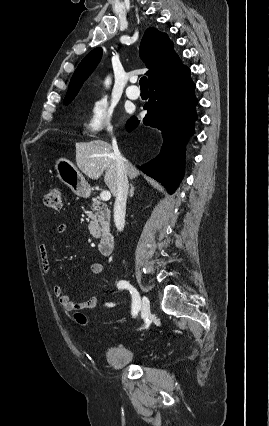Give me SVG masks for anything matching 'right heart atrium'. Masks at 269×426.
<instances>
[{
	"mask_svg": "<svg viewBox=\"0 0 269 426\" xmlns=\"http://www.w3.org/2000/svg\"><path fill=\"white\" fill-rule=\"evenodd\" d=\"M114 106L105 96L94 98L83 120V131L87 134L110 132L113 128Z\"/></svg>",
	"mask_w": 269,
	"mask_h": 426,
	"instance_id": "right-heart-atrium-1",
	"label": "right heart atrium"
}]
</instances>
